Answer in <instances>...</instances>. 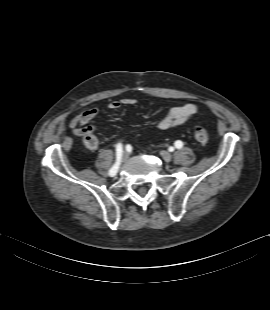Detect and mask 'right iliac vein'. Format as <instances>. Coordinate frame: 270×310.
Masks as SVG:
<instances>
[{"instance_id": "obj_1", "label": "right iliac vein", "mask_w": 270, "mask_h": 310, "mask_svg": "<svg viewBox=\"0 0 270 310\" xmlns=\"http://www.w3.org/2000/svg\"><path fill=\"white\" fill-rule=\"evenodd\" d=\"M128 158V153L127 152H124L123 155H122V159L123 160H126Z\"/></svg>"}]
</instances>
